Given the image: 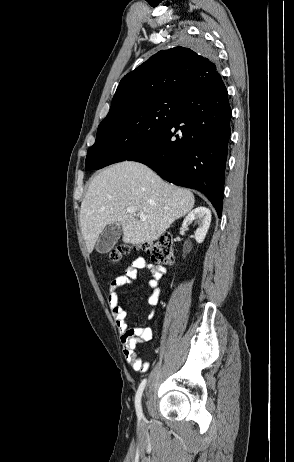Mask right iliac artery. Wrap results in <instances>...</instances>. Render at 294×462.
Returning <instances> with one entry per match:
<instances>
[{
  "instance_id": "1",
  "label": "right iliac artery",
  "mask_w": 294,
  "mask_h": 462,
  "mask_svg": "<svg viewBox=\"0 0 294 462\" xmlns=\"http://www.w3.org/2000/svg\"><path fill=\"white\" fill-rule=\"evenodd\" d=\"M146 385V379H144L141 384L139 385V388L137 390L136 396H135V408H136V413L139 418L143 417L142 413V407H141V397L143 394V390Z\"/></svg>"
}]
</instances>
